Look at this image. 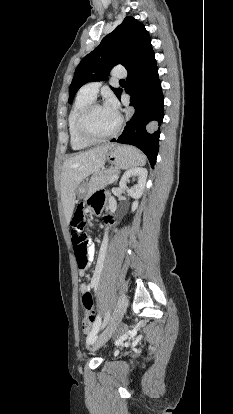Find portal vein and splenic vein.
<instances>
[{
	"instance_id": "1",
	"label": "portal vein and splenic vein",
	"mask_w": 233,
	"mask_h": 414,
	"mask_svg": "<svg viewBox=\"0 0 233 414\" xmlns=\"http://www.w3.org/2000/svg\"><path fill=\"white\" fill-rule=\"evenodd\" d=\"M118 179V176H114V177H112V179L110 180V182L109 183H113L114 181H116Z\"/></svg>"
}]
</instances>
